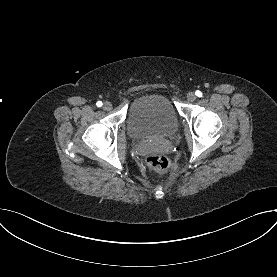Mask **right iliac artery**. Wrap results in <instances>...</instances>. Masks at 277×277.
<instances>
[{
    "mask_svg": "<svg viewBox=\"0 0 277 277\" xmlns=\"http://www.w3.org/2000/svg\"><path fill=\"white\" fill-rule=\"evenodd\" d=\"M96 105H97L98 107H101V106H102V102H101V101H98Z\"/></svg>",
    "mask_w": 277,
    "mask_h": 277,
    "instance_id": "right-iliac-artery-1",
    "label": "right iliac artery"
}]
</instances>
